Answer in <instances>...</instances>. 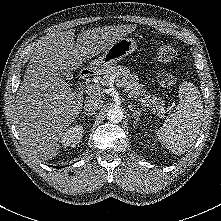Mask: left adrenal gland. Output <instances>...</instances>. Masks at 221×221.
<instances>
[{"label":"left adrenal gland","mask_w":221,"mask_h":221,"mask_svg":"<svg viewBox=\"0 0 221 221\" xmlns=\"http://www.w3.org/2000/svg\"><path fill=\"white\" fill-rule=\"evenodd\" d=\"M128 108L133 112V116L135 118V124H137V122L139 121L141 110L139 108H134L132 104L128 105Z\"/></svg>","instance_id":"left-adrenal-gland-1"}]
</instances>
